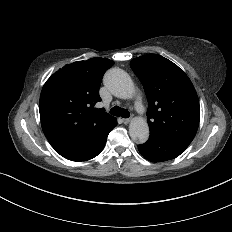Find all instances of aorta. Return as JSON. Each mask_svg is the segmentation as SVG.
Instances as JSON below:
<instances>
[{"mask_svg":"<svg viewBox=\"0 0 232 232\" xmlns=\"http://www.w3.org/2000/svg\"><path fill=\"white\" fill-rule=\"evenodd\" d=\"M104 84L116 97L131 98L135 93V86L131 77L124 70L112 68L104 76ZM130 137L138 142L145 143L149 138V126L145 119L135 117L129 125Z\"/></svg>","mask_w":232,"mask_h":232,"instance_id":"1","label":"aorta"}]
</instances>
